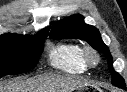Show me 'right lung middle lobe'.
Wrapping results in <instances>:
<instances>
[{
    "label": "right lung middle lobe",
    "instance_id": "obj_1",
    "mask_svg": "<svg viewBox=\"0 0 127 92\" xmlns=\"http://www.w3.org/2000/svg\"><path fill=\"white\" fill-rule=\"evenodd\" d=\"M46 33L26 38L0 37V77L33 69L44 47Z\"/></svg>",
    "mask_w": 127,
    "mask_h": 92
}]
</instances>
